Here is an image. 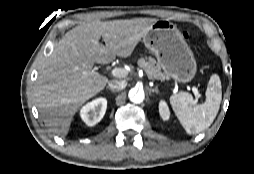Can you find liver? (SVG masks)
<instances>
[{"label":"liver","instance_id":"liver-1","mask_svg":"<svg viewBox=\"0 0 254 174\" xmlns=\"http://www.w3.org/2000/svg\"><path fill=\"white\" fill-rule=\"evenodd\" d=\"M157 19L136 18L91 21L68 31L39 70L36 105L44 123L59 136H66L73 116L90 98L102 91L108 78L93 69L129 57ZM103 38L105 45L99 43Z\"/></svg>","mask_w":254,"mask_h":174}]
</instances>
